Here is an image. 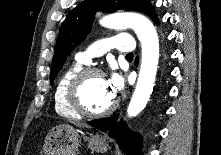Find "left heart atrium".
<instances>
[{
	"mask_svg": "<svg viewBox=\"0 0 221 155\" xmlns=\"http://www.w3.org/2000/svg\"><path fill=\"white\" fill-rule=\"evenodd\" d=\"M108 86L111 90V92L113 93V95L115 96L117 93H119L123 87H124V82L123 79L120 75L113 73L108 79Z\"/></svg>",
	"mask_w": 221,
	"mask_h": 155,
	"instance_id": "1",
	"label": "left heart atrium"
}]
</instances>
